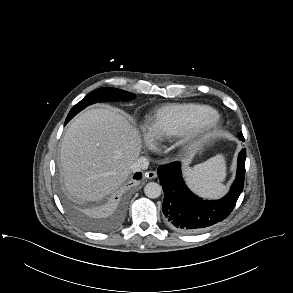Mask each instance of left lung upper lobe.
Instances as JSON below:
<instances>
[{
    "mask_svg": "<svg viewBox=\"0 0 293 293\" xmlns=\"http://www.w3.org/2000/svg\"><path fill=\"white\" fill-rule=\"evenodd\" d=\"M239 138H244V137L242 136V133H241V134H239Z\"/></svg>",
    "mask_w": 293,
    "mask_h": 293,
    "instance_id": "1",
    "label": "left lung upper lobe"
}]
</instances>
